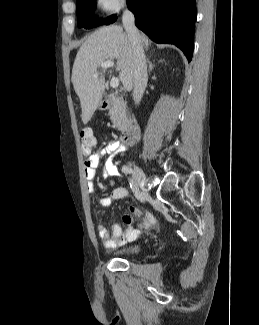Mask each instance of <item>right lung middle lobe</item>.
<instances>
[{"label": "right lung middle lobe", "mask_w": 259, "mask_h": 325, "mask_svg": "<svg viewBox=\"0 0 259 325\" xmlns=\"http://www.w3.org/2000/svg\"><path fill=\"white\" fill-rule=\"evenodd\" d=\"M96 0H77V18L78 27L86 29L97 27L100 24H112L117 20L116 15H111L106 19L99 21L94 16Z\"/></svg>", "instance_id": "obj_1"}]
</instances>
